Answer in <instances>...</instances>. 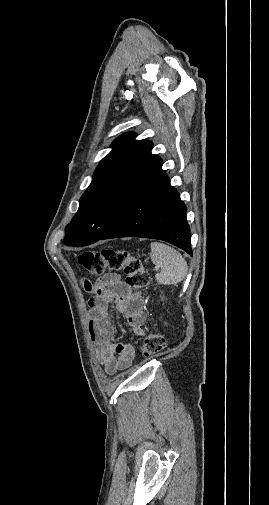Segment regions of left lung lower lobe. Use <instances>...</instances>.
I'll use <instances>...</instances> for the list:
<instances>
[{"mask_svg": "<svg viewBox=\"0 0 269 505\" xmlns=\"http://www.w3.org/2000/svg\"><path fill=\"white\" fill-rule=\"evenodd\" d=\"M119 237L159 239L192 255L186 206L156 155H151L130 200L99 240Z\"/></svg>", "mask_w": 269, "mask_h": 505, "instance_id": "obj_1", "label": "left lung lower lobe"}]
</instances>
